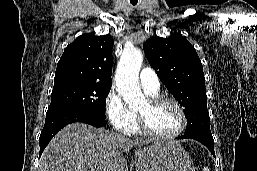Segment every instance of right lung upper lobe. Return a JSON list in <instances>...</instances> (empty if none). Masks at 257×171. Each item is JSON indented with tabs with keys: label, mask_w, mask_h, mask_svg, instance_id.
<instances>
[{
	"label": "right lung upper lobe",
	"mask_w": 257,
	"mask_h": 171,
	"mask_svg": "<svg viewBox=\"0 0 257 171\" xmlns=\"http://www.w3.org/2000/svg\"><path fill=\"white\" fill-rule=\"evenodd\" d=\"M113 37L83 34L69 44L56 68L54 87L74 83L111 85Z\"/></svg>",
	"instance_id": "right-lung-upper-lobe-1"
}]
</instances>
